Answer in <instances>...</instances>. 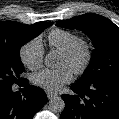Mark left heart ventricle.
Returning <instances> with one entry per match:
<instances>
[{"mask_svg": "<svg viewBox=\"0 0 119 119\" xmlns=\"http://www.w3.org/2000/svg\"><path fill=\"white\" fill-rule=\"evenodd\" d=\"M80 60H81L80 57H78V58L75 59V60H69V59H67L66 57H64V56L62 55L61 61H60V66H61V67H67V68H69V69L72 70L73 67H74L75 65H77V64L80 62Z\"/></svg>", "mask_w": 119, "mask_h": 119, "instance_id": "left-heart-ventricle-1", "label": "left heart ventricle"}]
</instances>
